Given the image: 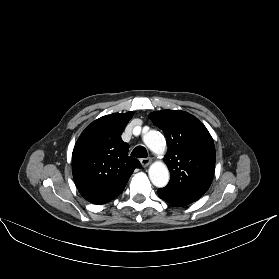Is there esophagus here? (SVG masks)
Segmentation results:
<instances>
[{"label": "esophagus", "mask_w": 279, "mask_h": 279, "mask_svg": "<svg viewBox=\"0 0 279 279\" xmlns=\"http://www.w3.org/2000/svg\"><path fill=\"white\" fill-rule=\"evenodd\" d=\"M140 162H141L143 167H147L151 164L152 158H150V157L149 158H143V159L140 160Z\"/></svg>", "instance_id": "obj_1"}]
</instances>
